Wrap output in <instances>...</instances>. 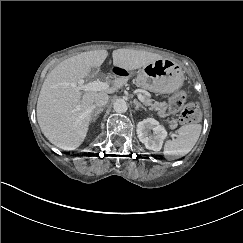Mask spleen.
<instances>
[{
	"label": "spleen",
	"mask_w": 243,
	"mask_h": 243,
	"mask_svg": "<svg viewBox=\"0 0 243 243\" xmlns=\"http://www.w3.org/2000/svg\"><path fill=\"white\" fill-rule=\"evenodd\" d=\"M201 124H188L178 129V137L167 140L164 155H186L195 146L201 134Z\"/></svg>",
	"instance_id": "3e777b00"
}]
</instances>
